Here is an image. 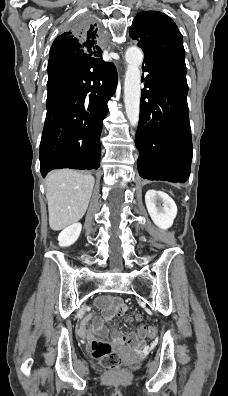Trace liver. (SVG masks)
<instances>
[{
    "label": "liver",
    "mask_w": 228,
    "mask_h": 396,
    "mask_svg": "<svg viewBox=\"0 0 228 396\" xmlns=\"http://www.w3.org/2000/svg\"><path fill=\"white\" fill-rule=\"evenodd\" d=\"M94 182L93 176L69 169L55 170L47 176L46 198L52 230H62L84 216Z\"/></svg>",
    "instance_id": "liver-1"
}]
</instances>
